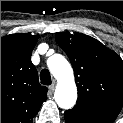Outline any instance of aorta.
Returning a JSON list of instances; mask_svg holds the SVG:
<instances>
[{
    "instance_id": "762f6f07",
    "label": "aorta",
    "mask_w": 123,
    "mask_h": 123,
    "mask_svg": "<svg viewBox=\"0 0 123 123\" xmlns=\"http://www.w3.org/2000/svg\"><path fill=\"white\" fill-rule=\"evenodd\" d=\"M47 65L58 84L54 98L62 109L72 108L77 100V88L71 65L61 54H54L47 60Z\"/></svg>"
}]
</instances>
